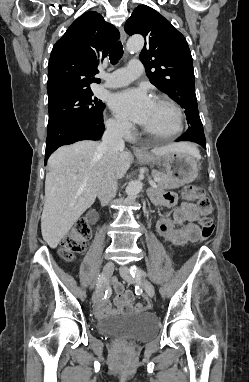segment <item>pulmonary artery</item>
<instances>
[{"instance_id":"e3ab8cb5","label":"pulmonary artery","mask_w":249,"mask_h":382,"mask_svg":"<svg viewBox=\"0 0 249 382\" xmlns=\"http://www.w3.org/2000/svg\"><path fill=\"white\" fill-rule=\"evenodd\" d=\"M143 71V64L139 60H131L126 67L117 69L111 74L103 75L104 86L119 88L128 85L139 77Z\"/></svg>"}]
</instances>
